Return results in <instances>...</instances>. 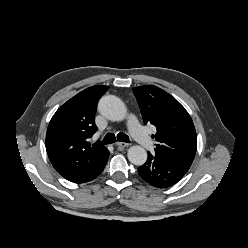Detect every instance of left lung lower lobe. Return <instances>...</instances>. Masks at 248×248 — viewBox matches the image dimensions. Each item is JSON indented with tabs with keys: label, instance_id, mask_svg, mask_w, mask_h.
I'll return each mask as SVG.
<instances>
[{
	"label": "left lung lower lobe",
	"instance_id": "left-lung-lower-lobe-1",
	"mask_svg": "<svg viewBox=\"0 0 248 248\" xmlns=\"http://www.w3.org/2000/svg\"><path fill=\"white\" fill-rule=\"evenodd\" d=\"M190 167L174 163L148 152V159L138 168L139 176L152 186L166 188L176 184Z\"/></svg>",
	"mask_w": 248,
	"mask_h": 248
}]
</instances>
